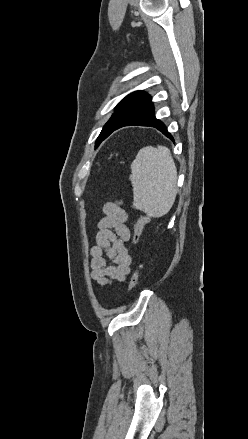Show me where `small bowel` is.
Listing matches in <instances>:
<instances>
[{
    "mask_svg": "<svg viewBox=\"0 0 248 439\" xmlns=\"http://www.w3.org/2000/svg\"><path fill=\"white\" fill-rule=\"evenodd\" d=\"M102 211L104 216L97 224L96 244L90 249V268L91 278L99 286H108L113 281L123 282L130 273L132 257L125 245L130 239V230L126 224L128 214L121 202H107ZM107 258L113 264H108Z\"/></svg>",
    "mask_w": 248,
    "mask_h": 439,
    "instance_id": "small-bowel-1",
    "label": "small bowel"
}]
</instances>
